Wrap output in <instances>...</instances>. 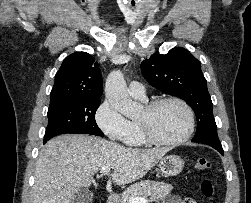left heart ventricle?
<instances>
[{
	"label": "left heart ventricle",
	"mask_w": 251,
	"mask_h": 203,
	"mask_svg": "<svg viewBox=\"0 0 251 203\" xmlns=\"http://www.w3.org/2000/svg\"><path fill=\"white\" fill-rule=\"evenodd\" d=\"M145 117L143 110L139 120ZM151 127L156 136L165 140L178 139L188 129L189 119L186 111L177 103L161 105L151 116Z\"/></svg>",
	"instance_id": "left-heart-ventricle-1"
}]
</instances>
